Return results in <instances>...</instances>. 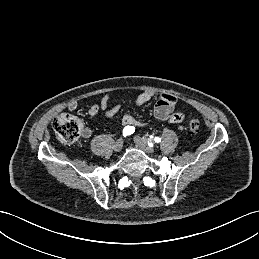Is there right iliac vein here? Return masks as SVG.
Listing matches in <instances>:
<instances>
[{"label": "right iliac vein", "instance_id": "obj_1", "mask_svg": "<svg viewBox=\"0 0 259 259\" xmlns=\"http://www.w3.org/2000/svg\"><path fill=\"white\" fill-rule=\"evenodd\" d=\"M122 147H123V139L120 138L115 142L113 149L115 152H119L121 151Z\"/></svg>", "mask_w": 259, "mask_h": 259}]
</instances>
